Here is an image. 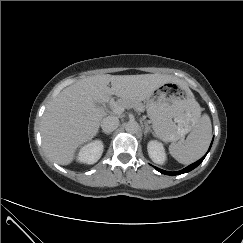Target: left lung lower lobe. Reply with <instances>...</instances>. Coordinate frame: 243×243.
Returning <instances> with one entry per match:
<instances>
[{
    "label": "left lung lower lobe",
    "instance_id": "0a47b994",
    "mask_svg": "<svg viewBox=\"0 0 243 243\" xmlns=\"http://www.w3.org/2000/svg\"><path fill=\"white\" fill-rule=\"evenodd\" d=\"M205 156H203L200 160L196 161L195 163H193V164L189 165L188 167H186V168H184V169H182L180 171H177V172H169V171H165V170L159 169L157 167H155V169L157 171H159L160 173L167 174V175H179V174L187 173V172L193 170L194 168H196L203 161V159L205 158Z\"/></svg>",
    "mask_w": 243,
    "mask_h": 243
}]
</instances>
